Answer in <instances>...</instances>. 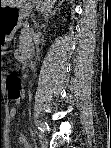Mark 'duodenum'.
Wrapping results in <instances>:
<instances>
[{
  "label": "duodenum",
  "mask_w": 111,
  "mask_h": 148,
  "mask_svg": "<svg viewBox=\"0 0 111 148\" xmlns=\"http://www.w3.org/2000/svg\"><path fill=\"white\" fill-rule=\"evenodd\" d=\"M20 58H21L22 63H26L30 57L27 54L22 53Z\"/></svg>",
  "instance_id": "1"
}]
</instances>
